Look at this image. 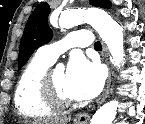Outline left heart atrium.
Segmentation results:
<instances>
[{
    "instance_id": "obj_1",
    "label": "left heart atrium",
    "mask_w": 145,
    "mask_h": 124,
    "mask_svg": "<svg viewBox=\"0 0 145 124\" xmlns=\"http://www.w3.org/2000/svg\"><path fill=\"white\" fill-rule=\"evenodd\" d=\"M104 82L97 63L82 56H73L66 71L67 91L73 99L87 100L95 97Z\"/></svg>"
}]
</instances>
